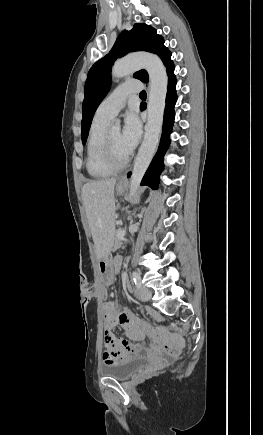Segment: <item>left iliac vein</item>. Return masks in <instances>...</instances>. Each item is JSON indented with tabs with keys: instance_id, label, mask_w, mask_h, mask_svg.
Listing matches in <instances>:
<instances>
[{
	"instance_id": "4c4485c4",
	"label": "left iliac vein",
	"mask_w": 263,
	"mask_h": 435,
	"mask_svg": "<svg viewBox=\"0 0 263 435\" xmlns=\"http://www.w3.org/2000/svg\"><path fill=\"white\" fill-rule=\"evenodd\" d=\"M139 297L142 301H149L152 297V292L145 287H140L139 288Z\"/></svg>"
}]
</instances>
